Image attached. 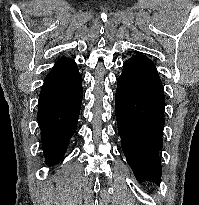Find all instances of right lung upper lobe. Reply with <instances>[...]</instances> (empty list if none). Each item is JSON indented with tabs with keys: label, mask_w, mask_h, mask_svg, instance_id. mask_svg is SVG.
I'll use <instances>...</instances> for the list:
<instances>
[{
	"label": "right lung upper lobe",
	"mask_w": 199,
	"mask_h": 205,
	"mask_svg": "<svg viewBox=\"0 0 199 205\" xmlns=\"http://www.w3.org/2000/svg\"><path fill=\"white\" fill-rule=\"evenodd\" d=\"M77 70V65L73 59L62 57L56 61L50 73L68 75Z\"/></svg>",
	"instance_id": "obj_1"
}]
</instances>
